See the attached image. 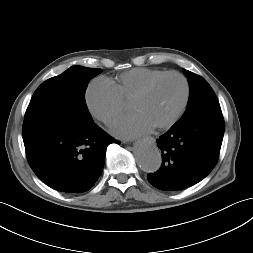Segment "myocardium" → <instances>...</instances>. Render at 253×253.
I'll list each match as a JSON object with an SVG mask.
<instances>
[{"mask_svg":"<svg viewBox=\"0 0 253 253\" xmlns=\"http://www.w3.org/2000/svg\"><path fill=\"white\" fill-rule=\"evenodd\" d=\"M170 76H175L178 77L184 85V96H183V100L182 103L178 109V111L176 112V114L167 122L157 125L155 126V128L159 129V130H166L171 128L172 126H174L180 119L181 117L184 115L188 103H189V99H190V83L187 79V77L178 72V71H167L162 73L161 75L151 79L149 82H147L131 99V103L143 98L144 96H146L151 90L152 88L158 83L160 82L162 79L170 77Z\"/></svg>","mask_w":253,"mask_h":253,"instance_id":"f54148a6","label":"myocardium"}]
</instances>
